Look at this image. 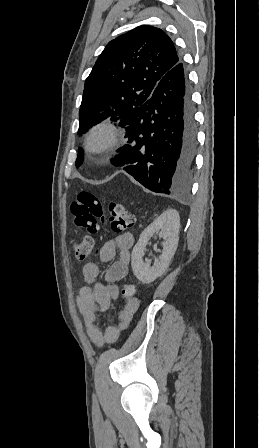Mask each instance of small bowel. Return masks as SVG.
Wrapping results in <instances>:
<instances>
[{"mask_svg": "<svg viewBox=\"0 0 259 448\" xmlns=\"http://www.w3.org/2000/svg\"><path fill=\"white\" fill-rule=\"evenodd\" d=\"M133 244V235L128 232L122 233L108 240L100 248L96 261L88 262L83 267L82 273L86 285L80 289L76 303L84 320L88 337L98 348L115 343L121 332L129 326L137 309V301L134 300L119 312L118 323L107 326L104 331L95 324L97 315L107 311L112 300L119 296L117 282L128 272ZM116 255L118 258L105 272L106 283L101 282L99 280L100 265L112 261Z\"/></svg>", "mask_w": 259, "mask_h": 448, "instance_id": "small-bowel-1", "label": "small bowel"}]
</instances>
